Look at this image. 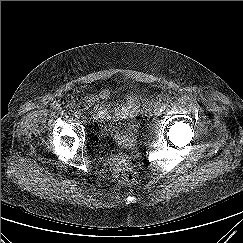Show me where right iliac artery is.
Masks as SVG:
<instances>
[{"label":"right iliac artery","mask_w":243,"mask_h":243,"mask_svg":"<svg viewBox=\"0 0 243 243\" xmlns=\"http://www.w3.org/2000/svg\"><path fill=\"white\" fill-rule=\"evenodd\" d=\"M74 115H75L76 117H80V115H81V111L76 110V111L74 112Z\"/></svg>","instance_id":"82829eb1"}]
</instances>
